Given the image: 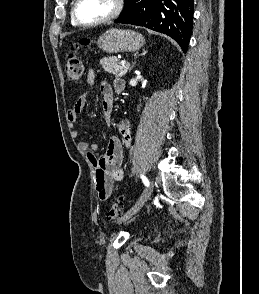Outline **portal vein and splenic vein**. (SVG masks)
<instances>
[{
    "label": "portal vein and splenic vein",
    "mask_w": 259,
    "mask_h": 294,
    "mask_svg": "<svg viewBox=\"0 0 259 294\" xmlns=\"http://www.w3.org/2000/svg\"><path fill=\"white\" fill-rule=\"evenodd\" d=\"M121 66H125L127 63L125 60H122L120 63H119Z\"/></svg>",
    "instance_id": "1"
}]
</instances>
